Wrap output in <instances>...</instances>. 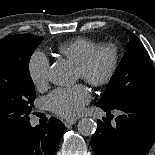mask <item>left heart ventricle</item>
Returning a JSON list of instances; mask_svg holds the SVG:
<instances>
[{
  "label": "left heart ventricle",
  "instance_id": "1",
  "mask_svg": "<svg viewBox=\"0 0 155 155\" xmlns=\"http://www.w3.org/2000/svg\"><path fill=\"white\" fill-rule=\"evenodd\" d=\"M107 64H108V58H107V56L104 55V56L101 57V59L99 60V62L97 64L96 72L98 74L102 73L106 69ZM77 73L80 76V73H79L78 69H77Z\"/></svg>",
  "mask_w": 155,
  "mask_h": 155
}]
</instances>
